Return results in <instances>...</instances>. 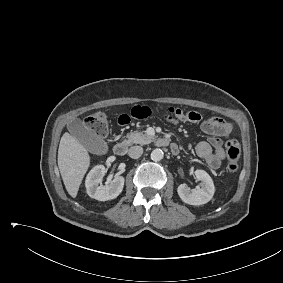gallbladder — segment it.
Listing matches in <instances>:
<instances>
[{"label":"gallbladder","instance_id":"1","mask_svg":"<svg viewBox=\"0 0 283 283\" xmlns=\"http://www.w3.org/2000/svg\"><path fill=\"white\" fill-rule=\"evenodd\" d=\"M71 135L93 154H105L108 146L105 140L89 129L80 119L72 120L68 125Z\"/></svg>","mask_w":283,"mask_h":283}]
</instances>
